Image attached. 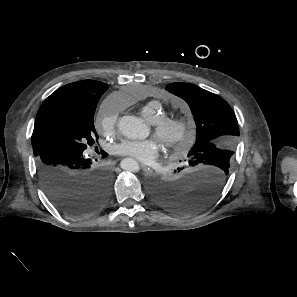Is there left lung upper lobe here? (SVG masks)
<instances>
[{
  "label": "left lung upper lobe",
  "instance_id": "1",
  "mask_svg": "<svg viewBox=\"0 0 297 297\" xmlns=\"http://www.w3.org/2000/svg\"><path fill=\"white\" fill-rule=\"evenodd\" d=\"M166 89L184 99L195 118L197 139L188 153L189 161L198 165L217 162L229 170L239 136L238 121L229 104L191 83L175 82Z\"/></svg>",
  "mask_w": 297,
  "mask_h": 297
}]
</instances>
